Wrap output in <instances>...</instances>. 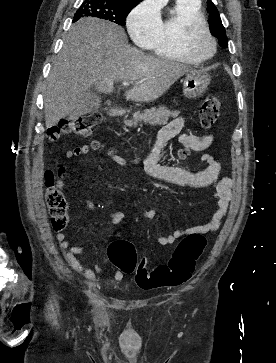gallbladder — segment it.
<instances>
[{
	"label": "gallbladder",
	"instance_id": "bac80fb5",
	"mask_svg": "<svg viewBox=\"0 0 276 363\" xmlns=\"http://www.w3.org/2000/svg\"><path fill=\"white\" fill-rule=\"evenodd\" d=\"M100 106V97L92 89H90L84 94L81 102L69 115V117L70 119H76L79 116L98 110Z\"/></svg>",
	"mask_w": 276,
	"mask_h": 363
}]
</instances>
